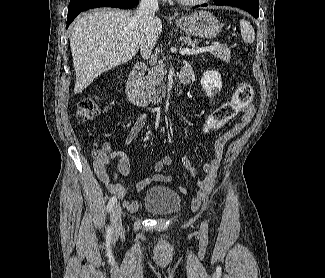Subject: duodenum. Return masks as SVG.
I'll return each instance as SVG.
<instances>
[{
	"mask_svg": "<svg viewBox=\"0 0 325 278\" xmlns=\"http://www.w3.org/2000/svg\"><path fill=\"white\" fill-rule=\"evenodd\" d=\"M146 67L143 63L136 64L131 70L127 82L126 93L130 102L139 108H146L150 102L142 91V78L145 74ZM193 74V68L190 65H186L179 73V82L183 85H187L191 82Z\"/></svg>",
	"mask_w": 325,
	"mask_h": 278,
	"instance_id": "410a0bca",
	"label": "duodenum"
}]
</instances>
